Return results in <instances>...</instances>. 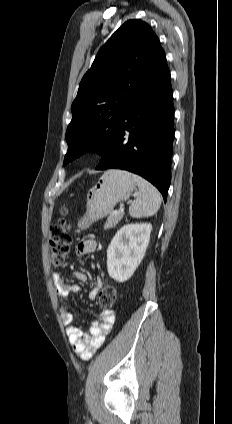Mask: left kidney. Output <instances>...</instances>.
Returning a JSON list of instances; mask_svg holds the SVG:
<instances>
[{
    "label": "left kidney",
    "instance_id": "1",
    "mask_svg": "<svg viewBox=\"0 0 232 424\" xmlns=\"http://www.w3.org/2000/svg\"><path fill=\"white\" fill-rule=\"evenodd\" d=\"M150 223L121 227L107 249V270L117 282L127 281L141 263L150 241Z\"/></svg>",
    "mask_w": 232,
    "mask_h": 424
}]
</instances>
